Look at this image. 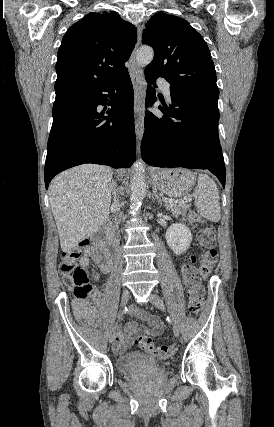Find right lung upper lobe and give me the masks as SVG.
Wrapping results in <instances>:
<instances>
[{
	"mask_svg": "<svg viewBox=\"0 0 274 427\" xmlns=\"http://www.w3.org/2000/svg\"><path fill=\"white\" fill-rule=\"evenodd\" d=\"M136 28L117 12L89 13L64 35L58 51L55 82L60 104L115 84L128 74Z\"/></svg>",
	"mask_w": 274,
	"mask_h": 427,
	"instance_id": "obj_1",
	"label": "right lung upper lobe"
}]
</instances>
